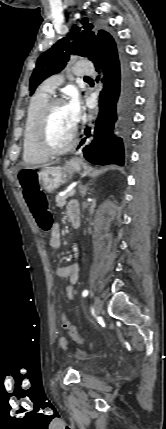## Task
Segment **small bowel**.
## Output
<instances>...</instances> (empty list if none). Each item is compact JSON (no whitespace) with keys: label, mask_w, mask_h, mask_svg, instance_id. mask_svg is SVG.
I'll return each mask as SVG.
<instances>
[{"label":"small bowel","mask_w":166,"mask_h":429,"mask_svg":"<svg viewBox=\"0 0 166 429\" xmlns=\"http://www.w3.org/2000/svg\"><path fill=\"white\" fill-rule=\"evenodd\" d=\"M72 212H79L78 205L75 202L70 203L67 207V213L69 216ZM49 244L53 249H58L61 245L60 229L57 224H55L52 228ZM73 250L75 253L77 252L76 246ZM55 273L59 278L68 280L65 288L66 296L68 299L72 300L74 297L73 285L79 279V265L77 263H73L68 266L57 267ZM59 344L63 347H66L68 342L65 338L60 337Z\"/></svg>","instance_id":"small-bowel-1"}]
</instances>
